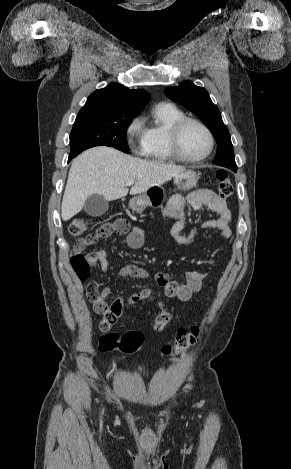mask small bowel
I'll list each match as a JSON object with an SVG mask.
<instances>
[{
  "label": "small bowel",
  "mask_w": 291,
  "mask_h": 469,
  "mask_svg": "<svg viewBox=\"0 0 291 469\" xmlns=\"http://www.w3.org/2000/svg\"><path fill=\"white\" fill-rule=\"evenodd\" d=\"M186 205H189L194 210H207L217 213L219 216L216 219L205 220L199 227L191 229L188 234H183L182 232L186 223ZM163 215L176 219V222L171 228V235L177 245L192 244L197 234L205 229L218 230L224 239L230 238L232 234L230 227L231 216L226 202L218 198L211 190H197L188 194L186 197L181 195L172 196L163 210ZM100 227L104 230L102 238L117 233L126 237V243L129 248L139 249L143 246L144 237L142 230L138 227L131 228L129 222L123 218L105 223ZM87 256L93 264H99L104 272L111 271L105 250L101 249L91 252ZM118 275L121 277L145 278L148 273L139 266L128 264L119 270ZM205 276L206 272L204 271L192 270L185 273L183 281H171L168 275L163 272L157 273L155 279L157 284L163 288L164 294L169 298H177L180 301L186 302L191 299L193 294L201 290ZM108 295V288L102 290L98 289L97 297L92 301L95 312L102 314L103 311L112 306L108 305L106 301ZM151 296L152 290L144 289L138 293L129 295L124 305L132 307L145 302Z\"/></svg>",
  "instance_id": "c3829d8e"
}]
</instances>
